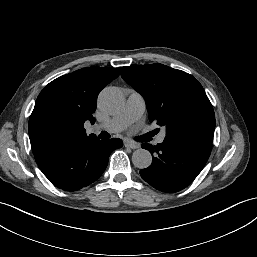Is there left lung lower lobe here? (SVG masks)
I'll return each mask as SVG.
<instances>
[{"label":"left lung lower lobe","instance_id":"1","mask_svg":"<svg viewBox=\"0 0 257 257\" xmlns=\"http://www.w3.org/2000/svg\"><path fill=\"white\" fill-rule=\"evenodd\" d=\"M212 137L165 138L156 146L144 143L152 154V164L140 171L141 177L154 188L178 192L187 187L202 171L211 152Z\"/></svg>","mask_w":257,"mask_h":257}]
</instances>
